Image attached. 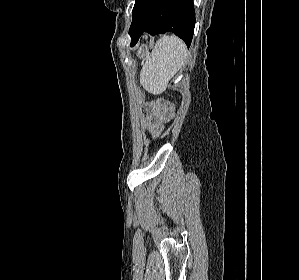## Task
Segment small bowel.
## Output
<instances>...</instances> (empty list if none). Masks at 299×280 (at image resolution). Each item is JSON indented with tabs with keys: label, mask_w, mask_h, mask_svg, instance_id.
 I'll return each mask as SVG.
<instances>
[{
	"label": "small bowel",
	"mask_w": 299,
	"mask_h": 280,
	"mask_svg": "<svg viewBox=\"0 0 299 280\" xmlns=\"http://www.w3.org/2000/svg\"><path fill=\"white\" fill-rule=\"evenodd\" d=\"M162 129L163 127L158 120H151L148 123V130L154 137L159 136L162 132Z\"/></svg>",
	"instance_id": "1"
}]
</instances>
